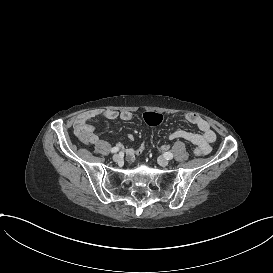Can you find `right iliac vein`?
I'll list each match as a JSON object with an SVG mask.
<instances>
[{"label":"right iliac vein","mask_w":273,"mask_h":273,"mask_svg":"<svg viewBox=\"0 0 273 273\" xmlns=\"http://www.w3.org/2000/svg\"><path fill=\"white\" fill-rule=\"evenodd\" d=\"M122 159V156L120 154H114L113 155V160L115 162H119Z\"/></svg>","instance_id":"63e3f726"}]
</instances>
